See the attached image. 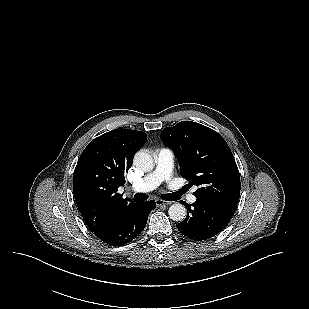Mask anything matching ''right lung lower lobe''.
Listing matches in <instances>:
<instances>
[{
  "label": "right lung lower lobe",
  "instance_id": "right-lung-lower-lobe-1",
  "mask_svg": "<svg viewBox=\"0 0 309 309\" xmlns=\"http://www.w3.org/2000/svg\"><path fill=\"white\" fill-rule=\"evenodd\" d=\"M155 208L154 201L131 203L116 213L100 231L94 234L113 246L127 244L143 231L149 213Z\"/></svg>",
  "mask_w": 309,
  "mask_h": 309
}]
</instances>
